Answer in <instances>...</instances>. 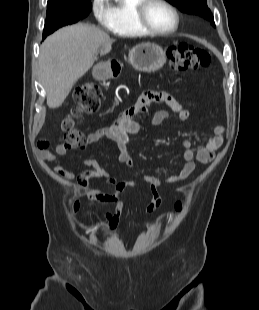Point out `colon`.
I'll use <instances>...</instances> for the list:
<instances>
[{
  "label": "colon",
  "mask_w": 259,
  "mask_h": 310,
  "mask_svg": "<svg viewBox=\"0 0 259 310\" xmlns=\"http://www.w3.org/2000/svg\"><path fill=\"white\" fill-rule=\"evenodd\" d=\"M167 55L170 69L177 73L204 68L212 62V58L206 50L189 43H180L170 47L167 50ZM100 103L101 90L94 83L84 84L74 91L73 104L60 124L67 146L79 147L84 143V135L74 127V118L95 113L99 109ZM175 207L177 211H181L183 209L182 202H177Z\"/></svg>",
  "instance_id": "5ec220e1"
}]
</instances>
